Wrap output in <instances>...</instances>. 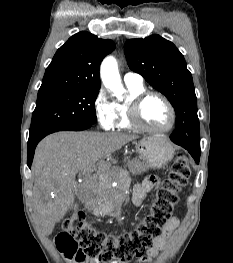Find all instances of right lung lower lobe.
Wrapping results in <instances>:
<instances>
[{
	"label": "right lung lower lobe",
	"instance_id": "1",
	"mask_svg": "<svg viewBox=\"0 0 233 263\" xmlns=\"http://www.w3.org/2000/svg\"><path fill=\"white\" fill-rule=\"evenodd\" d=\"M89 127H91V125H89V124L62 127V128H59V129L52 130V131H49L47 133H44L41 136L37 137L36 139L29 140L28 141V163H27L28 167L31 168V164H32V161H33V156H34V151H35V148H36L37 144L39 143V141L41 139H43L48 134H51V133L57 132V131H81V130H85V129L89 128Z\"/></svg>",
	"mask_w": 233,
	"mask_h": 263
}]
</instances>
